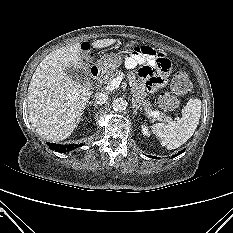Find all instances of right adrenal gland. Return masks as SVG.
Here are the masks:
<instances>
[{
  "instance_id": "obj_1",
  "label": "right adrenal gland",
  "mask_w": 233,
  "mask_h": 233,
  "mask_svg": "<svg viewBox=\"0 0 233 233\" xmlns=\"http://www.w3.org/2000/svg\"><path fill=\"white\" fill-rule=\"evenodd\" d=\"M92 105H93L94 107H96V108H97V106H98V105L95 104L94 102H88L86 106L88 107V106H92Z\"/></svg>"
}]
</instances>
